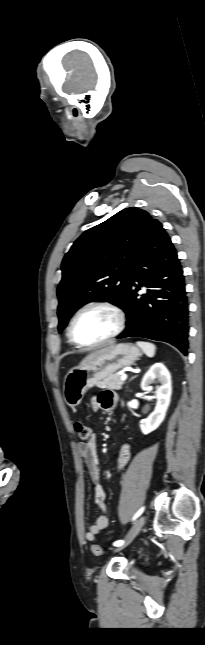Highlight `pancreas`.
Listing matches in <instances>:
<instances>
[{
  "label": "pancreas",
  "mask_w": 205,
  "mask_h": 645,
  "mask_svg": "<svg viewBox=\"0 0 205 645\" xmlns=\"http://www.w3.org/2000/svg\"><path fill=\"white\" fill-rule=\"evenodd\" d=\"M125 382L121 380V376L118 374H111L99 381L96 386L98 388H108L112 390H120Z\"/></svg>",
  "instance_id": "1"
}]
</instances>
